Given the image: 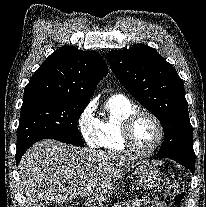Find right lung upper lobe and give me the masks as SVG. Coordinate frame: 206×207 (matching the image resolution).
Instances as JSON below:
<instances>
[{
    "label": "right lung upper lobe",
    "instance_id": "obj_1",
    "mask_svg": "<svg viewBox=\"0 0 206 207\" xmlns=\"http://www.w3.org/2000/svg\"><path fill=\"white\" fill-rule=\"evenodd\" d=\"M108 68L95 51L64 46L51 54L25 87L24 101L55 97L89 103L90 97Z\"/></svg>",
    "mask_w": 206,
    "mask_h": 207
}]
</instances>
